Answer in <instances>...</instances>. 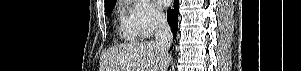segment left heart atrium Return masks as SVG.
<instances>
[{
    "instance_id": "39dd6f15",
    "label": "left heart atrium",
    "mask_w": 301,
    "mask_h": 71,
    "mask_svg": "<svg viewBox=\"0 0 301 71\" xmlns=\"http://www.w3.org/2000/svg\"><path fill=\"white\" fill-rule=\"evenodd\" d=\"M158 5L161 7L168 6L169 1L168 0H157Z\"/></svg>"
}]
</instances>
